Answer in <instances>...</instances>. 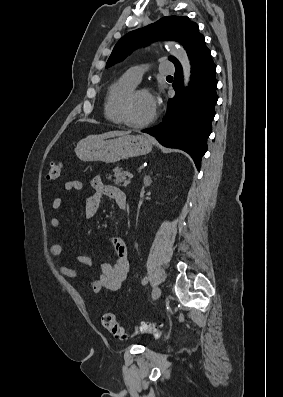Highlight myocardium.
Wrapping results in <instances>:
<instances>
[{"label": "myocardium", "mask_w": 283, "mask_h": 397, "mask_svg": "<svg viewBox=\"0 0 283 397\" xmlns=\"http://www.w3.org/2000/svg\"><path fill=\"white\" fill-rule=\"evenodd\" d=\"M139 93H146L148 95H151L150 91L147 88L144 87H137L135 86L134 88H132L131 90H129L121 99L120 103H119V116L120 119L122 121L123 124H125L128 127L131 128H143L148 126L149 124H151L155 119H156V112H154V114L147 120L143 121V122H134L130 119L129 117V107L130 104L133 100V98L139 94Z\"/></svg>", "instance_id": "1"}]
</instances>
